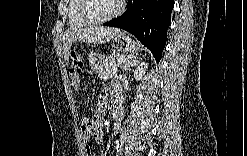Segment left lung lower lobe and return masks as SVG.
Instances as JSON below:
<instances>
[{
    "instance_id": "obj_1",
    "label": "left lung lower lobe",
    "mask_w": 247,
    "mask_h": 156,
    "mask_svg": "<svg viewBox=\"0 0 247 156\" xmlns=\"http://www.w3.org/2000/svg\"><path fill=\"white\" fill-rule=\"evenodd\" d=\"M173 6L174 0H128L124 14L104 25L133 34L159 62L166 44Z\"/></svg>"
}]
</instances>
